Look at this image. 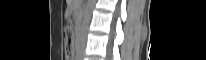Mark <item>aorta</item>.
<instances>
[{
  "instance_id": "aorta-1",
  "label": "aorta",
  "mask_w": 206,
  "mask_h": 60,
  "mask_svg": "<svg viewBox=\"0 0 206 60\" xmlns=\"http://www.w3.org/2000/svg\"><path fill=\"white\" fill-rule=\"evenodd\" d=\"M95 4V0H88L87 6L84 10V15H83V21L82 24L79 27L78 30V35H79V40H80V48L84 47L85 45V40H86V35H87V30L90 24L91 20V13L93 10Z\"/></svg>"
}]
</instances>
